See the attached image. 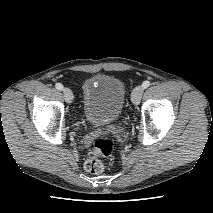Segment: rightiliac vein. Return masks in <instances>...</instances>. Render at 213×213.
Masks as SVG:
<instances>
[{
  "mask_svg": "<svg viewBox=\"0 0 213 213\" xmlns=\"http://www.w3.org/2000/svg\"><path fill=\"white\" fill-rule=\"evenodd\" d=\"M63 95H64V99L67 103H71L73 101V93L69 88H64L63 89Z\"/></svg>",
  "mask_w": 213,
  "mask_h": 213,
  "instance_id": "1",
  "label": "right iliac vein"
}]
</instances>
